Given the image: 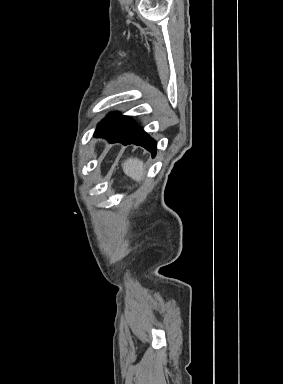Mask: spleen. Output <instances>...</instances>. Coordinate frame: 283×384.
I'll return each mask as SVG.
<instances>
[{
	"label": "spleen",
	"instance_id": "obj_1",
	"mask_svg": "<svg viewBox=\"0 0 283 384\" xmlns=\"http://www.w3.org/2000/svg\"><path fill=\"white\" fill-rule=\"evenodd\" d=\"M121 166L126 176H129L132 180H136V182L142 180L144 176V162H142V160H138V158H127Z\"/></svg>",
	"mask_w": 283,
	"mask_h": 384
}]
</instances>
